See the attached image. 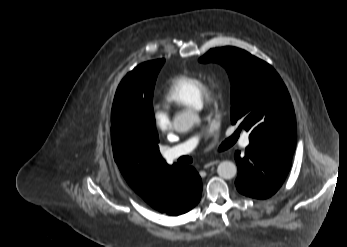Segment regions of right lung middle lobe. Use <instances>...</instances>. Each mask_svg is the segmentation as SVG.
I'll return each instance as SVG.
<instances>
[{
  "label": "right lung middle lobe",
  "mask_w": 347,
  "mask_h": 247,
  "mask_svg": "<svg viewBox=\"0 0 347 247\" xmlns=\"http://www.w3.org/2000/svg\"><path fill=\"white\" fill-rule=\"evenodd\" d=\"M164 59L142 63L119 84L111 111V132L130 142H159L153 91Z\"/></svg>",
  "instance_id": "obj_1"
}]
</instances>
